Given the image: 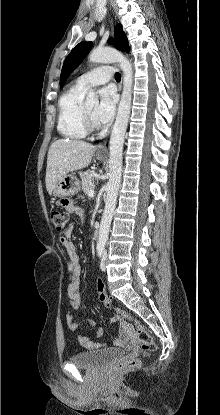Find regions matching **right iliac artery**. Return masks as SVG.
<instances>
[{
	"label": "right iliac artery",
	"instance_id": "82829eb1",
	"mask_svg": "<svg viewBox=\"0 0 220 415\" xmlns=\"http://www.w3.org/2000/svg\"><path fill=\"white\" fill-rule=\"evenodd\" d=\"M103 251H104V245H98V246H97V253H98V256H99V257H101V256H102Z\"/></svg>",
	"mask_w": 220,
	"mask_h": 415
}]
</instances>
